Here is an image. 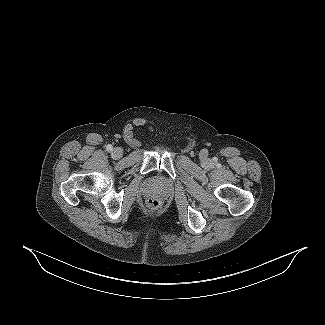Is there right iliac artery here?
Returning <instances> with one entry per match:
<instances>
[{
	"label": "right iliac artery",
	"mask_w": 325,
	"mask_h": 325,
	"mask_svg": "<svg viewBox=\"0 0 325 325\" xmlns=\"http://www.w3.org/2000/svg\"><path fill=\"white\" fill-rule=\"evenodd\" d=\"M106 150H107L108 152H111V151L113 150L112 145L108 144V145L106 146Z\"/></svg>",
	"instance_id": "right-iliac-artery-1"
}]
</instances>
